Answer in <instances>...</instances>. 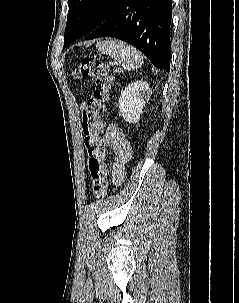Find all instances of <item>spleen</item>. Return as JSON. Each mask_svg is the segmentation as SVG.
I'll list each match as a JSON object with an SVG mask.
<instances>
[{
  "instance_id": "3e777b00",
  "label": "spleen",
  "mask_w": 239,
  "mask_h": 303,
  "mask_svg": "<svg viewBox=\"0 0 239 303\" xmlns=\"http://www.w3.org/2000/svg\"><path fill=\"white\" fill-rule=\"evenodd\" d=\"M96 48L111 58L126 70H135L143 63V55L133 46L118 40L102 41L96 44Z\"/></svg>"
}]
</instances>
